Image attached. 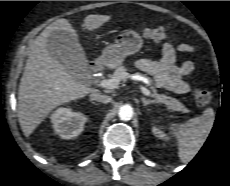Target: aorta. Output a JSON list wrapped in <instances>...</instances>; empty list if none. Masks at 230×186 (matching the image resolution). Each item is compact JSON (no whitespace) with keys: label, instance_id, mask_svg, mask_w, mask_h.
Listing matches in <instances>:
<instances>
[{"label":"aorta","instance_id":"aorta-1","mask_svg":"<svg viewBox=\"0 0 230 186\" xmlns=\"http://www.w3.org/2000/svg\"><path fill=\"white\" fill-rule=\"evenodd\" d=\"M133 108L126 104L120 107L119 109V118L124 121H128L133 117Z\"/></svg>","mask_w":230,"mask_h":186}]
</instances>
